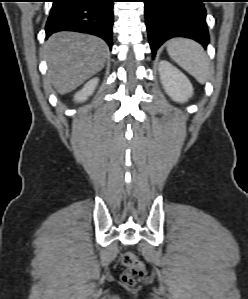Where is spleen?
Segmentation results:
<instances>
[{"mask_svg": "<svg viewBox=\"0 0 248 299\" xmlns=\"http://www.w3.org/2000/svg\"><path fill=\"white\" fill-rule=\"evenodd\" d=\"M169 56L200 83H205L209 76V60L197 42L175 38L167 43Z\"/></svg>", "mask_w": 248, "mask_h": 299, "instance_id": "1", "label": "spleen"}]
</instances>
